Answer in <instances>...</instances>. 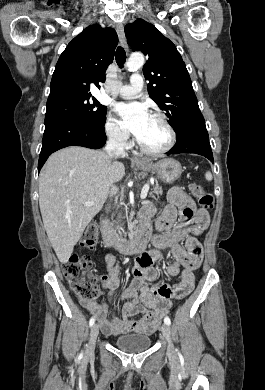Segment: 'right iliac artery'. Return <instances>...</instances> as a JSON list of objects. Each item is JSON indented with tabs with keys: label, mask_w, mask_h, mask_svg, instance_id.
Listing matches in <instances>:
<instances>
[{
	"label": "right iliac artery",
	"mask_w": 265,
	"mask_h": 390,
	"mask_svg": "<svg viewBox=\"0 0 265 390\" xmlns=\"http://www.w3.org/2000/svg\"><path fill=\"white\" fill-rule=\"evenodd\" d=\"M94 322H95V318L92 317V318L90 319V321H89L90 327L93 326ZM82 357H83V353H81V354L79 355V358H82Z\"/></svg>",
	"instance_id": "82829eb1"
}]
</instances>
